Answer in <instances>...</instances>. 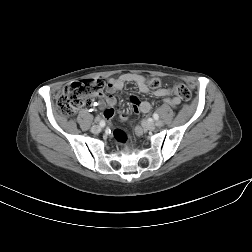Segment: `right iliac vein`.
I'll return each mask as SVG.
<instances>
[{
  "label": "right iliac vein",
  "mask_w": 252,
  "mask_h": 252,
  "mask_svg": "<svg viewBox=\"0 0 252 252\" xmlns=\"http://www.w3.org/2000/svg\"><path fill=\"white\" fill-rule=\"evenodd\" d=\"M101 131V127L99 125H94L92 126L91 128V132L94 133V134H97Z\"/></svg>",
  "instance_id": "right-iliac-vein-1"
}]
</instances>
